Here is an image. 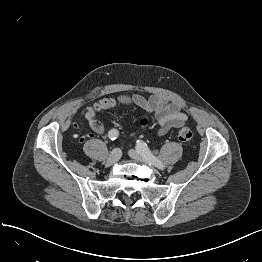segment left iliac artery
<instances>
[{
    "instance_id": "left-iliac-artery-1",
    "label": "left iliac artery",
    "mask_w": 262,
    "mask_h": 262,
    "mask_svg": "<svg viewBox=\"0 0 262 262\" xmlns=\"http://www.w3.org/2000/svg\"><path fill=\"white\" fill-rule=\"evenodd\" d=\"M137 151L151 164L159 169H164V166L160 160H158L148 149V146L143 141L138 140L136 144Z\"/></svg>"
}]
</instances>
